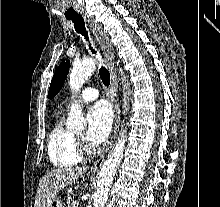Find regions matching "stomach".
<instances>
[{
    "instance_id": "1",
    "label": "stomach",
    "mask_w": 220,
    "mask_h": 207,
    "mask_svg": "<svg viewBox=\"0 0 220 207\" xmlns=\"http://www.w3.org/2000/svg\"><path fill=\"white\" fill-rule=\"evenodd\" d=\"M47 207H62V203L58 199H54Z\"/></svg>"
}]
</instances>
